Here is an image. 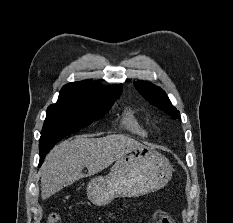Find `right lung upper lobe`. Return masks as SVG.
<instances>
[{
  "mask_svg": "<svg viewBox=\"0 0 233 223\" xmlns=\"http://www.w3.org/2000/svg\"><path fill=\"white\" fill-rule=\"evenodd\" d=\"M122 92V85L101 86L99 83L80 81L69 83L60 91L58 101H75L91 104H111Z\"/></svg>",
  "mask_w": 233,
  "mask_h": 223,
  "instance_id": "1",
  "label": "right lung upper lobe"
}]
</instances>
